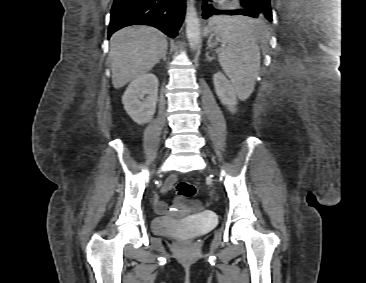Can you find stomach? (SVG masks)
I'll return each mask as SVG.
<instances>
[{"label": "stomach", "instance_id": "stomach-1", "mask_svg": "<svg viewBox=\"0 0 366 283\" xmlns=\"http://www.w3.org/2000/svg\"><path fill=\"white\" fill-rule=\"evenodd\" d=\"M215 35L217 36L216 39H219L220 37V32L218 30H215Z\"/></svg>", "mask_w": 366, "mask_h": 283}]
</instances>
